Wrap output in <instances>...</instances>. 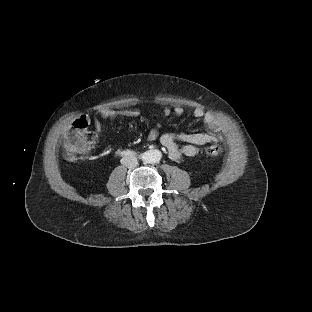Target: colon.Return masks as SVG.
Wrapping results in <instances>:
<instances>
[{
  "instance_id": "1",
  "label": "colon",
  "mask_w": 312,
  "mask_h": 312,
  "mask_svg": "<svg viewBox=\"0 0 312 312\" xmlns=\"http://www.w3.org/2000/svg\"><path fill=\"white\" fill-rule=\"evenodd\" d=\"M95 136L88 129V122L83 117H76L71 122V133L65 138V152L68 158L76 159L89 152L95 146ZM220 148L211 145L207 148L209 155H217Z\"/></svg>"
}]
</instances>
